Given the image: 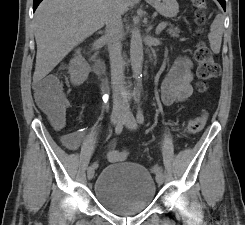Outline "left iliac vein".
<instances>
[{
    "label": "left iliac vein",
    "instance_id": "1",
    "mask_svg": "<svg viewBox=\"0 0 245 225\" xmlns=\"http://www.w3.org/2000/svg\"><path fill=\"white\" fill-rule=\"evenodd\" d=\"M122 123L130 130H135L137 128L136 119L129 110H126V112L123 114ZM156 181L159 185L162 184L164 181V175L162 173L157 175Z\"/></svg>",
    "mask_w": 245,
    "mask_h": 225
}]
</instances>
